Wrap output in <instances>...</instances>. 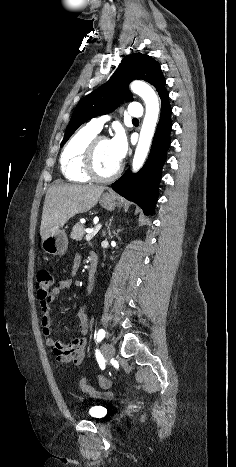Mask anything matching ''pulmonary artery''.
<instances>
[{"mask_svg": "<svg viewBox=\"0 0 236 467\" xmlns=\"http://www.w3.org/2000/svg\"><path fill=\"white\" fill-rule=\"evenodd\" d=\"M127 113L129 116H132L134 118L141 117L143 115V108H142L141 103L139 102L131 103L130 106L128 107ZM108 119H109L108 116H100V117L93 118L88 123V126L92 128L93 130L99 132L102 129L104 123Z\"/></svg>", "mask_w": 236, "mask_h": 467, "instance_id": "obj_1", "label": "pulmonary artery"}]
</instances>
